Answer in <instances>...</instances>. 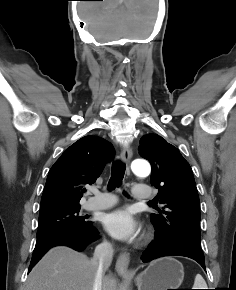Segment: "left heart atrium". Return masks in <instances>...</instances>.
I'll list each match as a JSON object with an SVG mask.
<instances>
[{"label":"left heart atrium","instance_id":"left-heart-atrium-1","mask_svg":"<svg viewBox=\"0 0 236 290\" xmlns=\"http://www.w3.org/2000/svg\"><path fill=\"white\" fill-rule=\"evenodd\" d=\"M103 224L108 233L120 240L133 239L138 230L133 216L124 208L108 213L104 218Z\"/></svg>","mask_w":236,"mask_h":290}]
</instances>
